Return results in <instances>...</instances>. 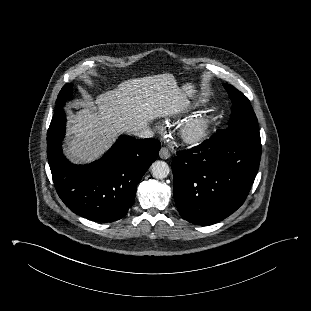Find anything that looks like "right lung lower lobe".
I'll return each instance as SVG.
<instances>
[{
  "label": "right lung lower lobe",
  "mask_w": 311,
  "mask_h": 311,
  "mask_svg": "<svg viewBox=\"0 0 311 311\" xmlns=\"http://www.w3.org/2000/svg\"><path fill=\"white\" fill-rule=\"evenodd\" d=\"M65 126V112L60 108L47 133V157L59 197L72 212L89 220L121 219L132 206L138 183L157 159L160 142L120 136L99 160L75 165L62 152Z\"/></svg>",
  "instance_id": "right-lung-lower-lobe-1"
}]
</instances>
